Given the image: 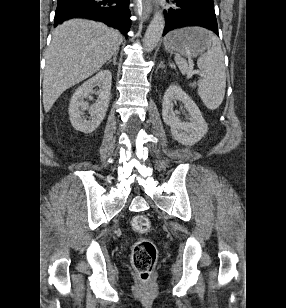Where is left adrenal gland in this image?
I'll use <instances>...</instances> for the list:
<instances>
[{"instance_id":"1","label":"left adrenal gland","mask_w":286,"mask_h":308,"mask_svg":"<svg viewBox=\"0 0 286 308\" xmlns=\"http://www.w3.org/2000/svg\"><path fill=\"white\" fill-rule=\"evenodd\" d=\"M160 68H164L163 62H160L159 66L157 67V70L160 69Z\"/></svg>"}]
</instances>
